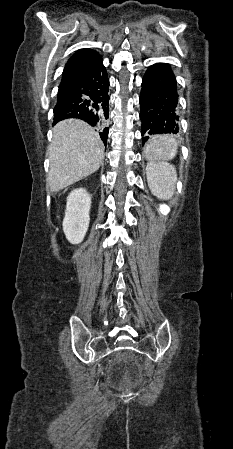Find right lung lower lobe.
<instances>
[{
  "label": "right lung lower lobe",
  "mask_w": 233,
  "mask_h": 449,
  "mask_svg": "<svg viewBox=\"0 0 233 449\" xmlns=\"http://www.w3.org/2000/svg\"><path fill=\"white\" fill-rule=\"evenodd\" d=\"M109 79L106 68L100 61L82 77L60 85L57 104L54 108V124L78 118L86 121L100 135L106 145L109 118Z\"/></svg>",
  "instance_id": "98d812e1"
}]
</instances>
